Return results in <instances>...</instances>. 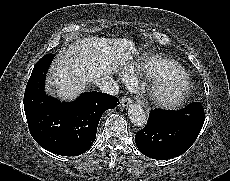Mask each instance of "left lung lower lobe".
Returning a JSON list of instances; mask_svg holds the SVG:
<instances>
[{"label": "left lung lower lobe", "mask_w": 230, "mask_h": 181, "mask_svg": "<svg viewBox=\"0 0 230 181\" xmlns=\"http://www.w3.org/2000/svg\"><path fill=\"white\" fill-rule=\"evenodd\" d=\"M204 121V109L197 102L177 111L155 109L146 127L135 135V142L139 151L150 158H174L195 142Z\"/></svg>", "instance_id": "left-lung-lower-lobe-1"}]
</instances>
